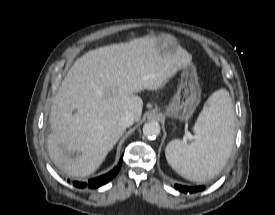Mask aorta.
<instances>
[{
	"label": "aorta",
	"instance_id": "1",
	"mask_svg": "<svg viewBox=\"0 0 275 215\" xmlns=\"http://www.w3.org/2000/svg\"><path fill=\"white\" fill-rule=\"evenodd\" d=\"M143 133L147 138H154L160 134V125L155 121L144 124Z\"/></svg>",
	"mask_w": 275,
	"mask_h": 215
}]
</instances>
